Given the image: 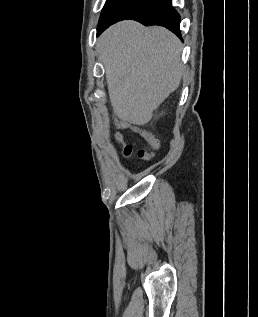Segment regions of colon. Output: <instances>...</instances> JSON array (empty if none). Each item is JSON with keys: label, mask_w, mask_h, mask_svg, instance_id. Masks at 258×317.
Segmentation results:
<instances>
[{"label": "colon", "mask_w": 258, "mask_h": 317, "mask_svg": "<svg viewBox=\"0 0 258 317\" xmlns=\"http://www.w3.org/2000/svg\"><path fill=\"white\" fill-rule=\"evenodd\" d=\"M117 139L119 141H121V137L120 136H117ZM123 153H124L125 156L130 157V156L135 154V149H134V147L131 144L124 143V145H123ZM137 154L142 159H148L150 157V154L148 152H146V151H143V150L138 151Z\"/></svg>", "instance_id": "1"}]
</instances>
